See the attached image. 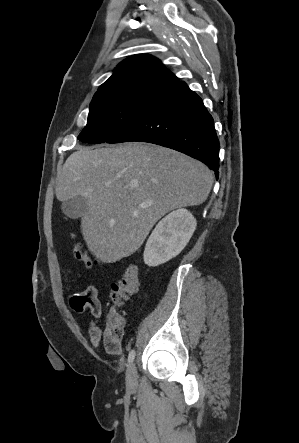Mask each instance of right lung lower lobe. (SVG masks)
I'll use <instances>...</instances> for the list:
<instances>
[{"label":"right lung lower lobe","mask_w":299,"mask_h":443,"mask_svg":"<svg viewBox=\"0 0 299 443\" xmlns=\"http://www.w3.org/2000/svg\"><path fill=\"white\" fill-rule=\"evenodd\" d=\"M148 142L185 153L207 164L218 179L219 141L202 99L180 81L130 126L107 143Z\"/></svg>","instance_id":"obj_1"}]
</instances>
